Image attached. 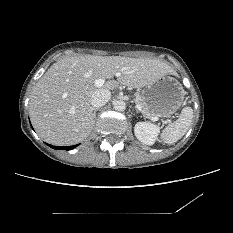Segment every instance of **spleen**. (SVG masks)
<instances>
[{
	"label": "spleen",
	"mask_w": 233,
	"mask_h": 233,
	"mask_svg": "<svg viewBox=\"0 0 233 233\" xmlns=\"http://www.w3.org/2000/svg\"><path fill=\"white\" fill-rule=\"evenodd\" d=\"M193 119V109L184 107L179 118L169 124L161 133V141L165 144H174L180 140L188 131Z\"/></svg>",
	"instance_id": "obj_1"
}]
</instances>
